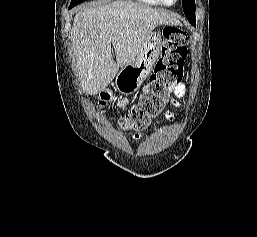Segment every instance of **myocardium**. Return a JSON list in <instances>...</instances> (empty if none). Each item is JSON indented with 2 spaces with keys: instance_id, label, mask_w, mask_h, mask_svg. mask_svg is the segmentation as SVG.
Listing matches in <instances>:
<instances>
[{
  "instance_id": "f54148a6",
  "label": "myocardium",
  "mask_w": 257,
  "mask_h": 237,
  "mask_svg": "<svg viewBox=\"0 0 257 237\" xmlns=\"http://www.w3.org/2000/svg\"><path fill=\"white\" fill-rule=\"evenodd\" d=\"M159 1L161 2L162 5H165V6H173L178 2V0H174V2L172 3H168L165 0H159Z\"/></svg>"
}]
</instances>
